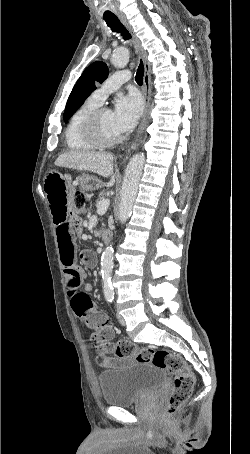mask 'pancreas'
I'll list each match as a JSON object with an SVG mask.
<instances>
[{
  "label": "pancreas",
  "instance_id": "cf45deb5",
  "mask_svg": "<svg viewBox=\"0 0 250 454\" xmlns=\"http://www.w3.org/2000/svg\"><path fill=\"white\" fill-rule=\"evenodd\" d=\"M104 195H105V193H104V192H101V193H99V196H98V200H97V202H98L99 200H102V199H104Z\"/></svg>",
  "mask_w": 250,
  "mask_h": 454
}]
</instances>
